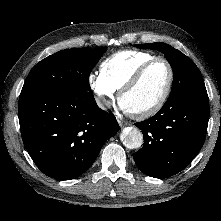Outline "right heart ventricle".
Wrapping results in <instances>:
<instances>
[{
  "label": "right heart ventricle",
  "mask_w": 221,
  "mask_h": 221,
  "mask_svg": "<svg viewBox=\"0 0 221 221\" xmlns=\"http://www.w3.org/2000/svg\"><path fill=\"white\" fill-rule=\"evenodd\" d=\"M155 57L154 54L144 51H119L110 55L101 63L100 73L115 91L120 90L143 63Z\"/></svg>",
  "instance_id": "e07e8e85"
}]
</instances>
